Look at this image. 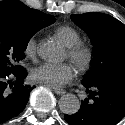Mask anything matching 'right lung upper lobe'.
<instances>
[{"instance_id":"right-lung-upper-lobe-1","label":"right lung upper lobe","mask_w":125,"mask_h":125,"mask_svg":"<svg viewBox=\"0 0 125 125\" xmlns=\"http://www.w3.org/2000/svg\"><path fill=\"white\" fill-rule=\"evenodd\" d=\"M47 14L27 7L18 0L0 1V25L15 31L36 33L46 23Z\"/></svg>"}]
</instances>
